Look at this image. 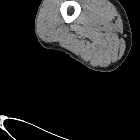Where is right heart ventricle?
<instances>
[{
  "label": "right heart ventricle",
  "instance_id": "e07e8e85",
  "mask_svg": "<svg viewBox=\"0 0 140 140\" xmlns=\"http://www.w3.org/2000/svg\"><path fill=\"white\" fill-rule=\"evenodd\" d=\"M91 12L92 20L86 26L79 27V33L84 36L94 37L95 35L104 33V31H106L107 35L112 37L115 36L111 32L110 28L106 27L112 12L111 8L107 4V1H96V7L93 10H91ZM60 28L66 29V27L62 25H59L57 29Z\"/></svg>",
  "mask_w": 140,
  "mask_h": 140
}]
</instances>
